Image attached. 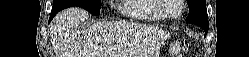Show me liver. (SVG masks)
Returning <instances> with one entry per match:
<instances>
[{
  "label": "liver",
  "instance_id": "6515ba94",
  "mask_svg": "<svg viewBox=\"0 0 249 57\" xmlns=\"http://www.w3.org/2000/svg\"><path fill=\"white\" fill-rule=\"evenodd\" d=\"M89 13L72 7L59 12L51 26V40L57 57H159L158 27L138 23L97 22L80 31Z\"/></svg>",
  "mask_w": 249,
  "mask_h": 57
}]
</instances>
